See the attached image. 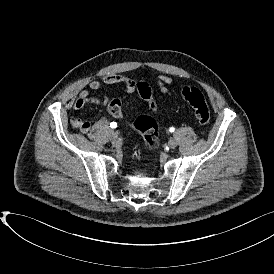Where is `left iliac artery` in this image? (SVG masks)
<instances>
[{
  "label": "left iliac artery",
  "instance_id": "left-iliac-artery-1",
  "mask_svg": "<svg viewBox=\"0 0 274 274\" xmlns=\"http://www.w3.org/2000/svg\"><path fill=\"white\" fill-rule=\"evenodd\" d=\"M169 131H170V132H174V131H175V128H174V127H170Z\"/></svg>",
  "mask_w": 274,
  "mask_h": 274
}]
</instances>
